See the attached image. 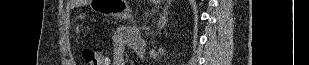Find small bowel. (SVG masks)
I'll use <instances>...</instances> for the list:
<instances>
[{
	"label": "small bowel",
	"instance_id": "c3829d8e",
	"mask_svg": "<svg viewBox=\"0 0 309 65\" xmlns=\"http://www.w3.org/2000/svg\"><path fill=\"white\" fill-rule=\"evenodd\" d=\"M143 47L140 32L135 27H120L116 30L113 38V53L111 58L105 59L104 65H126L124 62V51L127 48L136 51Z\"/></svg>",
	"mask_w": 309,
	"mask_h": 65
}]
</instances>
